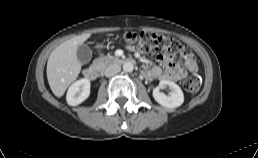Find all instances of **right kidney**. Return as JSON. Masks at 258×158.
I'll return each instance as SVG.
<instances>
[{"mask_svg":"<svg viewBox=\"0 0 258 158\" xmlns=\"http://www.w3.org/2000/svg\"><path fill=\"white\" fill-rule=\"evenodd\" d=\"M90 81L82 78L74 82L68 89L66 101L70 106H76L85 101L90 95Z\"/></svg>","mask_w":258,"mask_h":158,"instance_id":"1","label":"right kidney"}]
</instances>
